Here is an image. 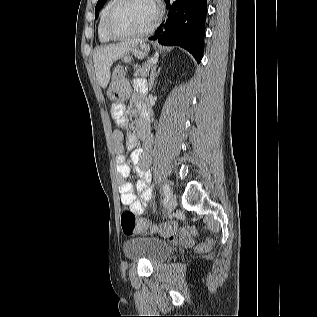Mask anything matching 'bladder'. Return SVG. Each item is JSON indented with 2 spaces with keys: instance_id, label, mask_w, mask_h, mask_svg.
<instances>
[{
  "instance_id": "bladder-1",
  "label": "bladder",
  "mask_w": 317,
  "mask_h": 317,
  "mask_svg": "<svg viewBox=\"0 0 317 317\" xmlns=\"http://www.w3.org/2000/svg\"><path fill=\"white\" fill-rule=\"evenodd\" d=\"M123 249L125 255L132 260L146 259L152 263L168 258L172 253L167 241L142 236L127 240Z\"/></svg>"
}]
</instances>
